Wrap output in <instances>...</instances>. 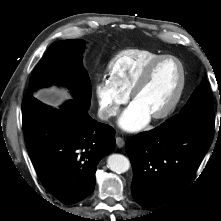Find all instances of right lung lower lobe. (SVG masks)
Instances as JSON below:
<instances>
[{
    "label": "right lung lower lobe",
    "mask_w": 221,
    "mask_h": 221,
    "mask_svg": "<svg viewBox=\"0 0 221 221\" xmlns=\"http://www.w3.org/2000/svg\"><path fill=\"white\" fill-rule=\"evenodd\" d=\"M79 101L55 109L31 94L22 103L23 130L37 175L54 197L79 202L95 186L98 162L115 147V131L92 119Z\"/></svg>",
    "instance_id": "obj_1"
}]
</instances>
